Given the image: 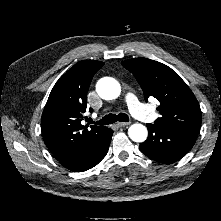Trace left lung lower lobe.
<instances>
[{
    "label": "left lung lower lobe",
    "mask_w": 221,
    "mask_h": 221,
    "mask_svg": "<svg viewBox=\"0 0 221 221\" xmlns=\"http://www.w3.org/2000/svg\"><path fill=\"white\" fill-rule=\"evenodd\" d=\"M148 138L140 144V150L149 158L172 163L181 159L193 147L198 132L184 129H168L147 124Z\"/></svg>",
    "instance_id": "left-lung-lower-lobe-1"
}]
</instances>
